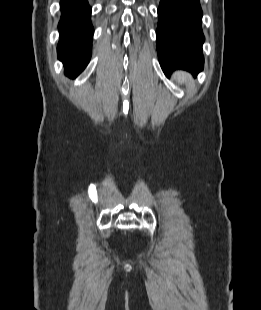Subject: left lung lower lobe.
<instances>
[{"mask_svg": "<svg viewBox=\"0 0 261 310\" xmlns=\"http://www.w3.org/2000/svg\"><path fill=\"white\" fill-rule=\"evenodd\" d=\"M199 0H161L158 8L157 51L166 76L175 69L196 75L203 70Z\"/></svg>", "mask_w": 261, "mask_h": 310, "instance_id": "0a47b994", "label": "left lung lower lobe"}]
</instances>
